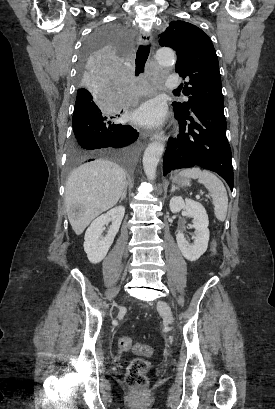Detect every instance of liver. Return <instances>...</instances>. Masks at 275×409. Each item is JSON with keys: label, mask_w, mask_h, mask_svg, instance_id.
Segmentation results:
<instances>
[{"label": "liver", "mask_w": 275, "mask_h": 409, "mask_svg": "<svg viewBox=\"0 0 275 409\" xmlns=\"http://www.w3.org/2000/svg\"><path fill=\"white\" fill-rule=\"evenodd\" d=\"M127 184L122 166L97 158L77 166L69 174L65 188V205L69 223L76 235H81L91 221L116 205ZM74 205H82L83 215L71 217Z\"/></svg>", "instance_id": "obj_1"}]
</instances>
